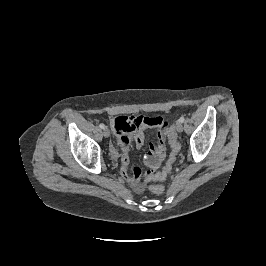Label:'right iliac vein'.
I'll return each instance as SVG.
<instances>
[{
  "label": "right iliac vein",
  "mask_w": 266,
  "mask_h": 266,
  "mask_svg": "<svg viewBox=\"0 0 266 266\" xmlns=\"http://www.w3.org/2000/svg\"><path fill=\"white\" fill-rule=\"evenodd\" d=\"M103 135H104L105 137H109V136H110V131H109L107 128H104V129H103Z\"/></svg>",
  "instance_id": "63e3f726"
}]
</instances>
